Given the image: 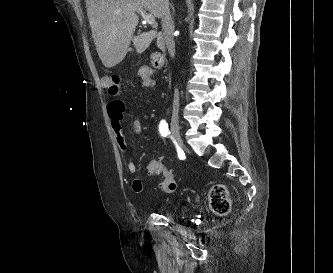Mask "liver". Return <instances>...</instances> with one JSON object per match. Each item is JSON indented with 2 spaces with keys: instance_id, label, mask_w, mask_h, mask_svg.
<instances>
[{
  "instance_id": "obj_1",
  "label": "liver",
  "mask_w": 333,
  "mask_h": 273,
  "mask_svg": "<svg viewBox=\"0 0 333 273\" xmlns=\"http://www.w3.org/2000/svg\"><path fill=\"white\" fill-rule=\"evenodd\" d=\"M138 7L161 18L159 0H86L94 44L105 67H113L125 57L139 21Z\"/></svg>"
}]
</instances>
